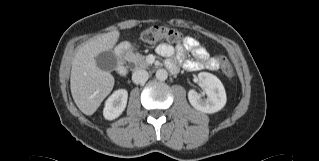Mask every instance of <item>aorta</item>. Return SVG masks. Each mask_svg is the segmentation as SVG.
Returning <instances> with one entry per match:
<instances>
[{
	"label": "aorta",
	"instance_id": "762f6f07",
	"mask_svg": "<svg viewBox=\"0 0 319 161\" xmlns=\"http://www.w3.org/2000/svg\"><path fill=\"white\" fill-rule=\"evenodd\" d=\"M168 77V73L165 69H159L156 71V78L160 81L166 80Z\"/></svg>",
	"mask_w": 319,
	"mask_h": 161
}]
</instances>
